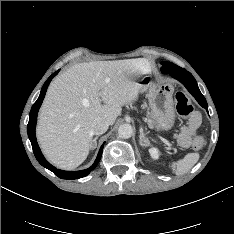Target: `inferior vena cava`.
I'll return each instance as SVG.
<instances>
[{"label": "inferior vena cava", "mask_w": 234, "mask_h": 234, "mask_svg": "<svg viewBox=\"0 0 234 234\" xmlns=\"http://www.w3.org/2000/svg\"><path fill=\"white\" fill-rule=\"evenodd\" d=\"M109 123L102 119L95 120L91 125V132L94 135H101L107 131Z\"/></svg>", "instance_id": "602c4592"}]
</instances>
